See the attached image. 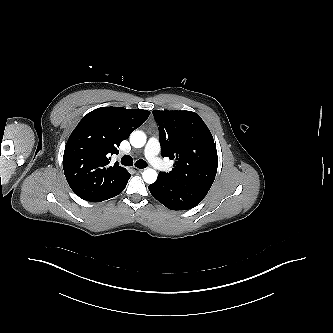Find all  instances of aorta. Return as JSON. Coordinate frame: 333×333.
<instances>
[{"mask_svg": "<svg viewBox=\"0 0 333 333\" xmlns=\"http://www.w3.org/2000/svg\"><path fill=\"white\" fill-rule=\"evenodd\" d=\"M130 143L135 148L143 147L146 143V134L139 130L133 131L130 135ZM142 177L146 183L152 184L157 179V172L154 169L148 168L144 170Z\"/></svg>", "mask_w": 333, "mask_h": 333, "instance_id": "762f6f07", "label": "aorta"}]
</instances>
